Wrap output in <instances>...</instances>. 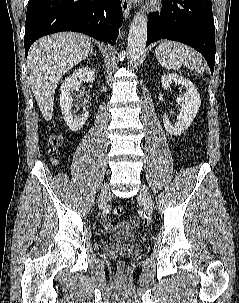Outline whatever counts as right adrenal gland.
I'll list each match as a JSON object with an SVG mask.
<instances>
[{
  "mask_svg": "<svg viewBox=\"0 0 239 303\" xmlns=\"http://www.w3.org/2000/svg\"><path fill=\"white\" fill-rule=\"evenodd\" d=\"M90 54H91V55H96V53L94 52L93 46H91ZM87 59H88V57H87Z\"/></svg>",
  "mask_w": 239,
  "mask_h": 303,
  "instance_id": "obj_1",
  "label": "right adrenal gland"
}]
</instances>
